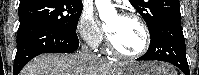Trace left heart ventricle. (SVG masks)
<instances>
[{"label": "left heart ventricle", "mask_w": 199, "mask_h": 75, "mask_svg": "<svg viewBox=\"0 0 199 75\" xmlns=\"http://www.w3.org/2000/svg\"><path fill=\"white\" fill-rule=\"evenodd\" d=\"M112 42L122 51L135 53L142 49L144 34L137 21L115 16L108 23Z\"/></svg>", "instance_id": "left-heart-ventricle-1"}]
</instances>
